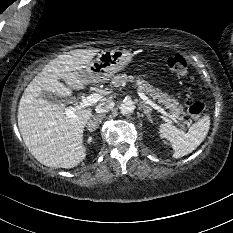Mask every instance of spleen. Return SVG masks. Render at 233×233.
Listing matches in <instances>:
<instances>
[{
	"label": "spleen",
	"instance_id": "spleen-1",
	"mask_svg": "<svg viewBox=\"0 0 233 233\" xmlns=\"http://www.w3.org/2000/svg\"><path fill=\"white\" fill-rule=\"evenodd\" d=\"M210 128V116L204 115L193 124L188 132L177 129L169 123L160 125V136L170 140L174 150L173 157L180 158L194 151L206 138Z\"/></svg>",
	"mask_w": 233,
	"mask_h": 233
}]
</instances>
